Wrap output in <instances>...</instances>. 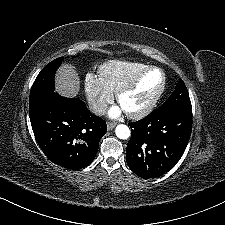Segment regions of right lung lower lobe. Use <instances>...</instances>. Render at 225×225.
I'll return each instance as SVG.
<instances>
[{
	"label": "right lung lower lobe",
	"mask_w": 225,
	"mask_h": 225,
	"mask_svg": "<svg viewBox=\"0 0 225 225\" xmlns=\"http://www.w3.org/2000/svg\"><path fill=\"white\" fill-rule=\"evenodd\" d=\"M35 138L49 160L78 170L95 158L106 122L92 114L83 101L49 92L29 102Z\"/></svg>",
	"instance_id": "98d812e1"
}]
</instances>
